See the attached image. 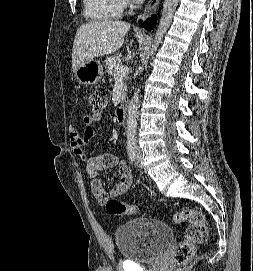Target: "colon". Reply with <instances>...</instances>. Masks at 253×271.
I'll list each match as a JSON object with an SVG mask.
<instances>
[{"label":"colon","instance_id":"obj_1","mask_svg":"<svg viewBox=\"0 0 253 271\" xmlns=\"http://www.w3.org/2000/svg\"><path fill=\"white\" fill-rule=\"evenodd\" d=\"M89 102L93 113L99 114L105 107V98L95 92L89 94ZM106 210L113 215H127L135 212V207L131 204L123 203L114 198L105 202ZM172 221L176 224L186 222L188 224L181 240L174 251V259L179 263H186L191 259L196 246L203 244L208 239V227L204 214L196 209H185L175 213Z\"/></svg>","mask_w":253,"mask_h":271}]
</instances>
